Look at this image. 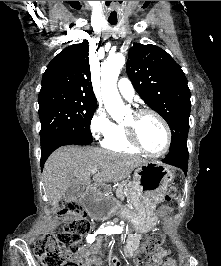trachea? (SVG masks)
<instances>
[{
    "label": "trachea",
    "instance_id": "trachea-1",
    "mask_svg": "<svg viewBox=\"0 0 221 266\" xmlns=\"http://www.w3.org/2000/svg\"><path fill=\"white\" fill-rule=\"evenodd\" d=\"M109 23L111 24V25H116L117 24V21H109Z\"/></svg>",
    "mask_w": 221,
    "mask_h": 266
}]
</instances>
